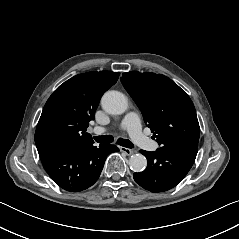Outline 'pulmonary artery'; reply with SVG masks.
<instances>
[{
    "instance_id": "1",
    "label": "pulmonary artery",
    "mask_w": 239,
    "mask_h": 239,
    "mask_svg": "<svg viewBox=\"0 0 239 239\" xmlns=\"http://www.w3.org/2000/svg\"><path fill=\"white\" fill-rule=\"evenodd\" d=\"M122 128L128 132L130 138L135 143L143 145L146 141H148V138L142 133L141 124L137 113H127L122 121ZM91 132L95 135H100L105 133V129L103 127L96 126L91 129Z\"/></svg>"
}]
</instances>
